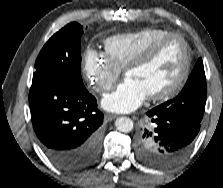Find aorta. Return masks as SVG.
<instances>
[{"label": "aorta", "instance_id": "762f6f07", "mask_svg": "<svg viewBox=\"0 0 223 188\" xmlns=\"http://www.w3.org/2000/svg\"><path fill=\"white\" fill-rule=\"evenodd\" d=\"M115 127L118 131L128 133L134 127L133 121L128 117H119L115 121Z\"/></svg>", "mask_w": 223, "mask_h": 188}]
</instances>
